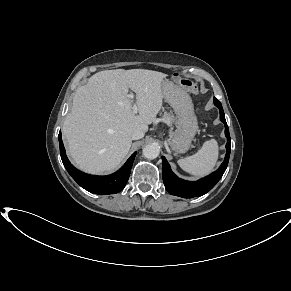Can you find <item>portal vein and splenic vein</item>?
<instances>
[{
    "label": "portal vein and splenic vein",
    "mask_w": 291,
    "mask_h": 291,
    "mask_svg": "<svg viewBox=\"0 0 291 291\" xmlns=\"http://www.w3.org/2000/svg\"><path fill=\"white\" fill-rule=\"evenodd\" d=\"M129 97H130L131 99H133V98H134V95H133V94H129ZM132 110H133V113H134V114L137 113V111H138V107H137L136 104L133 105Z\"/></svg>",
    "instance_id": "portal-vein-and-splenic-vein-1"
}]
</instances>
